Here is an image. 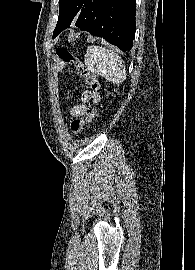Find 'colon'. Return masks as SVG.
<instances>
[{
  "label": "colon",
  "mask_w": 195,
  "mask_h": 270,
  "mask_svg": "<svg viewBox=\"0 0 195 270\" xmlns=\"http://www.w3.org/2000/svg\"><path fill=\"white\" fill-rule=\"evenodd\" d=\"M57 58L64 64L74 65L78 75L90 86L93 91H98L100 84L97 77L87 68V66L76 58L68 49L58 47L56 49ZM96 115V110L92 109L87 115L76 118L71 123V130L80 134L84 131L86 125L92 121Z\"/></svg>",
  "instance_id": "5ec220e1"
}]
</instances>
